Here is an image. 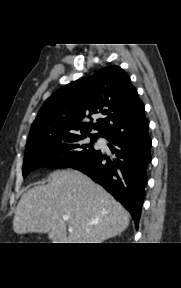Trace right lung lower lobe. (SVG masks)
<instances>
[{
	"label": "right lung lower lobe",
	"instance_id": "98d812e1",
	"mask_svg": "<svg viewBox=\"0 0 181 288\" xmlns=\"http://www.w3.org/2000/svg\"><path fill=\"white\" fill-rule=\"evenodd\" d=\"M108 140L112 144H109V148L116 158L110 160L98 150L71 167L102 185L130 212L138 227L147 183V168L152 159V141L148 132L135 138L125 136Z\"/></svg>",
	"mask_w": 181,
	"mask_h": 288
}]
</instances>
